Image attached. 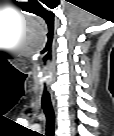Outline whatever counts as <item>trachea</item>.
<instances>
[{
  "instance_id": "trachea-1",
  "label": "trachea",
  "mask_w": 114,
  "mask_h": 136,
  "mask_svg": "<svg viewBox=\"0 0 114 136\" xmlns=\"http://www.w3.org/2000/svg\"><path fill=\"white\" fill-rule=\"evenodd\" d=\"M42 107L47 119L46 131L48 136H53L54 132V110L50 99V94L47 91L46 84H44L43 95H42Z\"/></svg>"
}]
</instances>
